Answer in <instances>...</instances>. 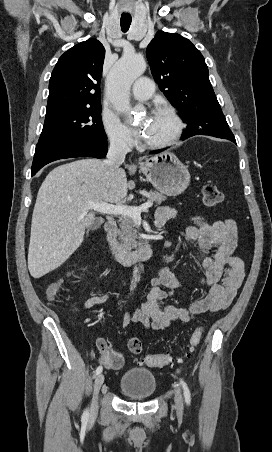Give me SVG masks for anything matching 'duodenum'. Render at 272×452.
I'll list each match as a JSON object with an SVG mask.
<instances>
[{
  "instance_id": "duodenum-1",
  "label": "duodenum",
  "mask_w": 272,
  "mask_h": 452,
  "mask_svg": "<svg viewBox=\"0 0 272 452\" xmlns=\"http://www.w3.org/2000/svg\"><path fill=\"white\" fill-rule=\"evenodd\" d=\"M105 231L109 252L115 259L131 264L139 260L150 259L153 256L154 249L150 243L142 244L133 250L122 247L117 239V223L115 220H108L105 223Z\"/></svg>"
}]
</instances>
